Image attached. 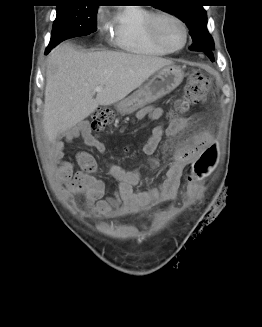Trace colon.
<instances>
[{"instance_id": "obj_1", "label": "colon", "mask_w": 262, "mask_h": 327, "mask_svg": "<svg viewBox=\"0 0 262 327\" xmlns=\"http://www.w3.org/2000/svg\"><path fill=\"white\" fill-rule=\"evenodd\" d=\"M211 88L210 81L202 73L192 72L188 78L184 88L183 95L175 104V109L171 113L174 117L177 114L188 112L193 107L202 103ZM114 120V113L108 109H98L92 115L91 127L93 130L100 132L106 126L110 125ZM216 157L215 148L206 149L203 154L196 160L193 165V173L197 177H201L208 171V168L214 163Z\"/></svg>"}]
</instances>
